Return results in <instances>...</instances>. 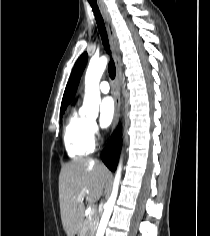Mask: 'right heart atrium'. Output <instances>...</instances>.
Segmentation results:
<instances>
[{"label": "right heart atrium", "instance_id": "1", "mask_svg": "<svg viewBox=\"0 0 210 236\" xmlns=\"http://www.w3.org/2000/svg\"><path fill=\"white\" fill-rule=\"evenodd\" d=\"M89 133L92 138L98 136L99 134V128L96 122L90 121L89 122Z\"/></svg>", "mask_w": 210, "mask_h": 236}]
</instances>
